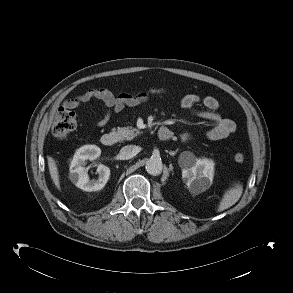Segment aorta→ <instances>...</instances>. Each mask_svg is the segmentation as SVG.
<instances>
[{"mask_svg": "<svg viewBox=\"0 0 293 293\" xmlns=\"http://www.w3.org/2000/svg\"><path fill=\"white\" fill-rule=\"evenodd\" d=\"M163 164L161 158L151 157L146 161V171L153 176L161 174Z\"/></svg>", "mask_w": 293, "mask_h": 293, "instance_id": "obj_1", "label": "aorta"}]
</instances>
